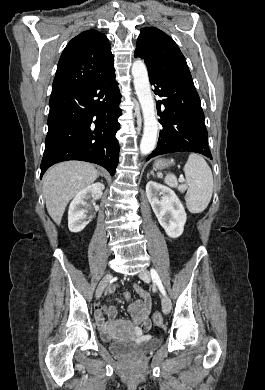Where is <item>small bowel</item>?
<instances>
[{"mask_svg":"<svg viewBox=\"0 0 265 390\" xmlns=\"http://www.w3.org/2000/svg\"><path fill=\"white\" fill-rule=\"evenodd\" d=\"M135 290L140 298L133 301L128 306V311L134 324L137 325V331L144 332L151 326V298L149 294L138 285H135ZM109 292L111 293L112 291L110 290ZM105 315L110 322H113L116 317L115 308L113 306H108L105 310ZM96 320L103 336L105 338H109L108 323L105 321L104 315L99 310L96 312Z\"/></svg>","mask_w":265,"mask_h":390,"instance_id":"c3829d8e","label":"small bowel"}]
</instances>
